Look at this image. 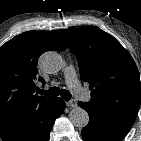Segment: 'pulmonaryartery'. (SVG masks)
<instances>
[{
    "label": "pulmonary artery",
    "mask_w": 141,
    "mask_h": 141,
    "mask_svg": "<svg viewBox=\"0 0 141 141\" xmlns=\"http://www.w3.org/2000/svg\"><path fill=\"white\" fill-rule=\"evenodd\" d=\"M64 77L68 87L73 91L75 95L81 98H87L85 90L80 85L76 72L72 66H68L64 71Z\"/></svg>",
    "instance_id": "1"
}]
</instances>
